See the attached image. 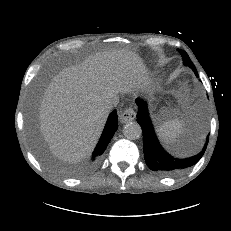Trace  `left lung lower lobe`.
<instances>
[{"instance_id": "0a47b994", "label": "left lung lower lobe", "mask_w": 231, "mask_h": 231, "mask_svg": "<svg viewBox=\"0 0 231 231\" xmlns=\"http://www.w3.org/2000/svg\"><path fill=\"white\" fill-rule=\"evenodd\" d=\"M136 103L138 105L137 122L143 131L145 161L151 170L162 175H176L193 166L201 159L208 144V137L199 154L189 158H175L169 155L159 144L148 115L147 104L141 99H136Z\"/></svg>"}]
</instances>
